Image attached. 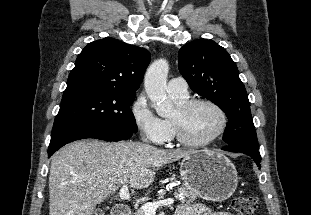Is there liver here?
I'll return each mask as SVG.
<instances>
[{
	"instance_id": "1",
	"label": "liver",
	"mask_w": 311,
	"mask_h": 215,
	"mask_svg": "<svg viewBox=\"0 0 311 215\" xmlns=\"http://www.w3.org/2000/svg\"><path fill=\"white\" fill-rule=\"evenodd\" d=\"M191 153L132 141L68 144L51 158L49 215H93L96 205L122 185L148 188L155 168Z\"/></svg>"
}]
</instances>
